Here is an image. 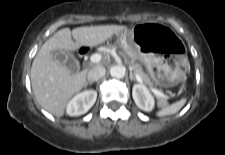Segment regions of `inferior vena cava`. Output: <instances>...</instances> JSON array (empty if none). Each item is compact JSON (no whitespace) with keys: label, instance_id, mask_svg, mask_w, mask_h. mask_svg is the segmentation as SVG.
<instances>
[{"label":"inferior vena cava","instance_id":"602c4592","mask_svg":"<svg viewBox=\"0 0 225 155\" xmlns=\"http://www.w3.org/2000/svg\"><path fill=\"white\" fill-rule=\"evenodd\" d=\"M106 73L105 67L102 65L94 66L89 70L87 78L90 82H94L102 78Z\"/></svg>","mask_w":225,"mask_h":155}]
</instances>
